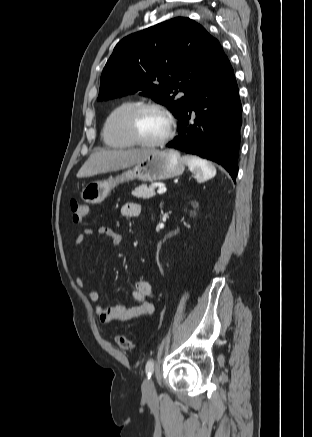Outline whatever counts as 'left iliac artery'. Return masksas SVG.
Listing matches in <instances>:
<instances>
[{"mask_svg":"<svg viewBox=\"0 0 312 437\" xmlns=\"http://www.w3.org/2000/svg\"><path fill=\"white\" fill-rule=\"evenodd\" d=\"M146 374L148 376V379L151 378L153 372H154V360L153 359H149L146 363Z\"/></svg>","mask_w":312,"mask_h":437,"instance_id":"44dca946","label":"left iliac artery"}]
</instances>
